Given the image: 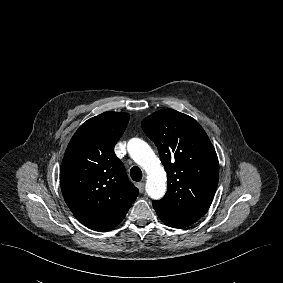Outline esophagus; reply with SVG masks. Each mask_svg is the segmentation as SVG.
<instances>
[{
	"label": "esophagus",
	"instance_id": "obj_1",
	"mask_svg": "<svg viewBox=\"0 0 283 283\" xmlns=\"http://www.w3.org/2000/svg\"><path fill=\"white\" fill-rule=\"evenodd\" d=\"M144 186H145V184L143 182L137 183V187H138L140 193L144 192Z\"/></svg>",
	"mask_w": 283,
	"mask_h": 283
}]
</instances>
